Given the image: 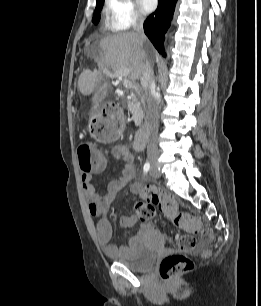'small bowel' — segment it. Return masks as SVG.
<instances>
[{"label":"small bowel","mask_w":261,"mask_h":306,"mask_svg":"<svg viewBox=\"0 0 261 306\" xmlns=\"http://www.w3.org/2000/svg\"><path fill=\"white\" fill-rule=\"evenodd\" d=\"M112 157L116 160H124L125 164L118 178L111 180L103 195L95 191V187L91 183L92 176L95 173L102 172L107 161L104 159L89 171H82L80 175L81 185L84 196L87 202V211L90 216L100 218L96 225V236L100 247L107 256H127L130 252V247L135 243L132 242L129 246H116L112 244L114 230L111 223L106 219V214L109 212L112 203L117 195L121 192L124 186L130 182L135 175L133 164V155L125 144H117L111 150ZM132 193L141 196L142 189L138 182L131 184ZM136 215L123 216L120 219V224L124 228H132L138 223Z\"/></svg>","instance_id":"c3829d8e"}]
</instances>
